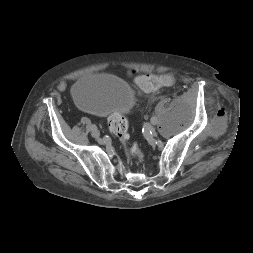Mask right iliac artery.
<instances>
[{"label": "right iliac artery", "instance_id": "right-iliac-artery-1", "mask_svg": "<svg viewBox=\"0 0 253 253\" xmlns=\"http://www.w3.org/2000/svg\"><path fill=\"white\" fill-rule=\"evenodd\" d=\"M89 128H90V130H94V129H96V126L93 125V124H90V125H89Z\"/></svg>", "mask_w": 253, "mask_h": 253}]
</instances>
